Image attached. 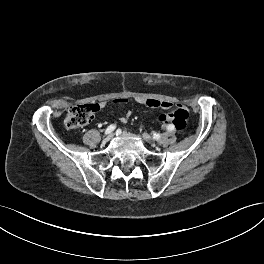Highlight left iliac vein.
<instances>
[{
  "mask_svg": "<svg viewBox=\"0 0 264 264\" xmlns=\"http://www.w3.org/2000/svg\"><path fill=\"white\" fill-rule=\"evenodd\" d=\"M142 137H143V139H144L145 141H147V142H151V141H152L151 136H150L149 134H147V133H143V134H142Z\"/></svg>",
  "mask_w": 264,
  "mask_h": 264,
  "instance_id": "4c4485c4",
  "label": "left iliac vein"
}]
</instances>
